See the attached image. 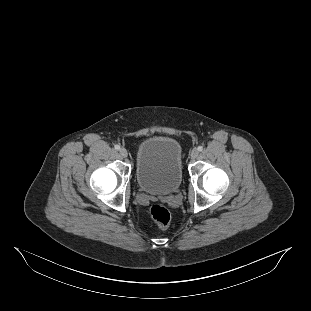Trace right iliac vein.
<instances>
[{"mask_svg": "<svg viewBox=\"0 0 311 311\" xmlns=\"http://www.w3.org/2000/svg\"><path fill=\"white\" fill-rule=\"evenodd\" d=\"M119 153H120V155L122 156V157H127L128 156V151H127V149H125V148H121L120 150H119Z\"/></svg>", "mask_w": 311, "mask_h": 311, "instance_id": "1", "label": "right iliac vein"}]
</instances>
